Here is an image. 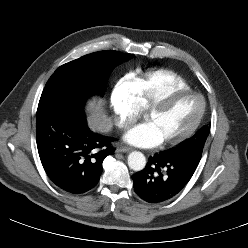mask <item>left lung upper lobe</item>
Masks as SVG:
<instances>
[{
  "mask_svg": "<svg viewBox=\"0 0 248 248\" xmlns=\"http://www.w3.org/2000/svg\"><path fill=\"white\" fill-rule=\"evenodd\" d=\"M209 132H210V127L205 126L201 128L192 138L185 141L178 147L170 150V152L175 154H185V153L202 154L204 144L209 135Z\"/></svg>",
  "mask_w": 248,
  "mask_h": 248,
  "instance_id": "obj_1",
  "label": "left lung upper lobe"
}]
</instances>
